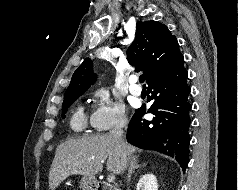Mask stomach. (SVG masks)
Masks as SVG:
<instances>
[{
	"instance_id": "1",
	"label": "stomach",
	"mask_w": 238,
	"mask_h": 190,
	"mask_svg": "<svg viewBox=\"0 0 238 190\" xmlns=\"http://www.w3.org/2000/svg\"><path fill=\"white\" fill-rule=\"evenodd\" d=\"M80 186L82 190H95L97 187V180L94 177H82Z\"/></svg>"
}]
</instances>
